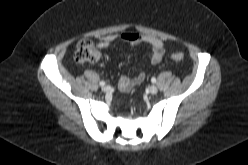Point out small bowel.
<instances>
[{
    "instance_id": "obj_1",
    "label": "small bowel",
    "mask_w": 248,
    "mask_h": 165,
    "mask_svg": "<svg viewBox=\"0 0 248 165\" xmlns=\"http://www.w3.org/2000/svg\"><path fill=\"white\" fill-rule=\"evenodd\" d=\"M127 42L130 44L145 43L151 48L150 63L157 64L161 61L165 46L164 43L157 37L151 35H141L138 33L128 32L123 34H111L99 38L97 45L100 48L112 47L116 41ZM145 79V73L141 72L136 77H121L119 79L118 87L121 92H127L132 88L140 85Z\"/></svg>"
}]
</instances>
